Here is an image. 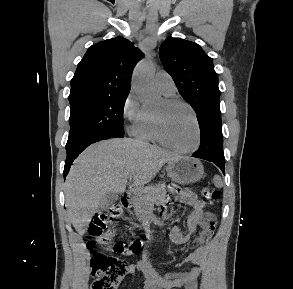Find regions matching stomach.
Returning a JSON list of instances; mask_svg holds the SVG:
<instances>
[{
    "mask_svg": "<svg viewBox=\"0 0 293 289\" xmlns=\"http://www.w3.org/2000/svg\"><path fill=\"white\" fill-rule=\"evenodd\" d=\"M166 172L171 180L187 185L198 182L204 175V168L197 159L178 157L168 162Z\"/></svg>",
    "mask_w": 293,
    "mask_h": 289,
    "instance_id": "0dacf381",
    "label": "stomach"
}]
</instances>
